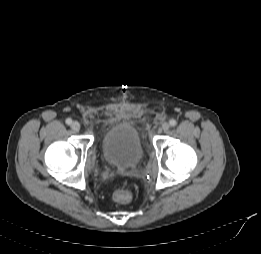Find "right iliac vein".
Listing matches in <instances>:
<instances>
[{
    "mask_svg": "<svg viewBox=\"0 0 261 254\" xmlns=\"http://www.w3.org/2000/svg\"><path fill=\"white\" fill-rule=\"evenodd\" d=\"M71 129L75 132H78L80 130V123L77 122V121H74L72 124H71Z\"/></svg>",
    "mask_w": 261,
    "mask_h": 254,
    "instance_id": "obj_1",
    "label": "right iliac vein"
}]
</instances>
